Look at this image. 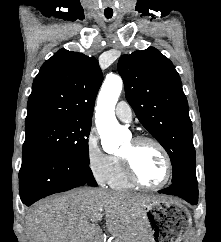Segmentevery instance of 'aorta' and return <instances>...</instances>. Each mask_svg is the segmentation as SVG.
<instances>
[{
  "mask_svg": "<svg viewBox=\"0 0 221 242\" xmlns=\"http://www.w3.org/2000/svg\"><path fill=\"white\" fill-rule=\"evenodd\" d=\"M123 87L118 75H108L102 85L96 106V126L103 148L114 153L124 142L125 130L115 117V106Z\"/></svg>",
  "mask_w": 221,
  "mask_h": 242,
  "instance_id": "obj_1",
  "label": "aorta"
}]
</instances>
